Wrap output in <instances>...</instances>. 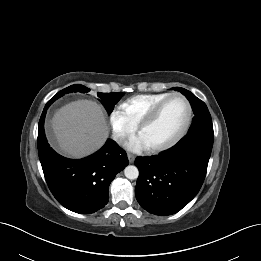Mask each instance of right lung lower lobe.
I'll return each mask as SVG.
<instances>
[{
    "instance_id": "obj_1",
    "label": "right lung lower lobe",
    "mask_w": 261,
    "mask_h": 261,
    "mask_svg": "<svg viewBox=\"0 0 261 261\" xmlns=\"http://www.w3.org/2000/svg\"><path fill=\"white\" fill-rule=\"evenodd\" d=\"M46 104L38 130V153L46 182L54 197L65 208L89 214L103 208L109 198V185L116 174L128 165V158L118 144L108 139L93 155L73 160L57 154L48 144L44 119L50 104Z\"/></svg>"
}]
</instances>
